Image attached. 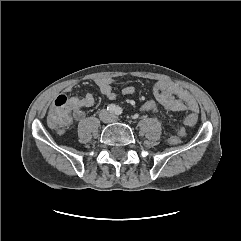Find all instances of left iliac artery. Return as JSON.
I'll list each match as a JSON object with an SVG mask.
<instances>
[{
    "mask_svg": "<svg viewBox=\"0 0 241 241\" xmlns=\"http://www.w3.org/2000/svg\"><path fill=\"white\" fill-rule=\"evenodd\" d=\"M122 113H123V109H122L121 107L117 106V107L115 108V114L121 115Z\"/></svg>",
    "mask_w": 241,
    "mask_h": 241,
    "instance_id": "44dca946",
    "label": "left iliac artery"
}]
</instances>
